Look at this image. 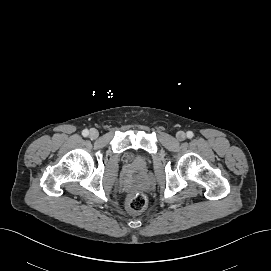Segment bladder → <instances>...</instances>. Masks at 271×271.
<instances>
[{
	"instance_id": "bladder-1",
	"label": "bladder",
	"mask_w": 271,
	"mask_h": 271,
	"mask_svg": "<svg viewBox=\"0 0 271 271\" xmlns=\"http://www.w3.org/2000/svg\"><path fill=\"white\" fill-rule=\"evenodd\" d=\"M126 158L128 162H130L135 168L140 170L144 169L149 162L147 156L137 153H129Z\"/></svg>"
}]
</instances>
